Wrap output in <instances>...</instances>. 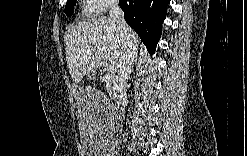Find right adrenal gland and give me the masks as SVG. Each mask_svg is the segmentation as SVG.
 Listing matches in <instances>:
<instances>
[{
	"label": "right adrenal gland",
	"mask_w": 247,
	"mask_h": 156,
	"mask_svg": "<svg viewBox=\"0 0 247 156\" xmlns=\"http://www.w3.org/2000/svg\"><path fill=\"white\" fill-rule=\"evenodd\" d=\"M137 61H138V57H136V58H135V62H134V64H135V63H137Z\"/></svg>",
	"instance_id": "obj_1"
}]
</instances>
